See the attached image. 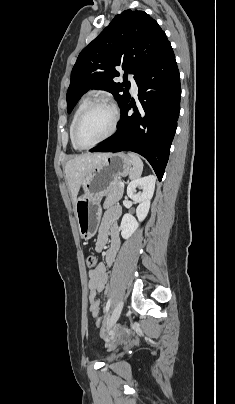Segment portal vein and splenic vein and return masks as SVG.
I'll return each mask as SVG.
<instances>
[{
	"label": "portal vein and splenic vein",
	"mask_w": 235,
	"mask_h": 404,
	"mask_svg": "<svg viewBox=\"0 0 235 404\" xmlns=\"http://www.w3.org/2000/svg\"><path fill=\"white\" fill-rule=\"evenodd\" d=\"M120 187H122V188H123V187H124V183H120Z\"/></svg>",
	"instance_id": "obj_1"
}]
</instances>
